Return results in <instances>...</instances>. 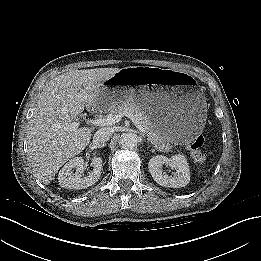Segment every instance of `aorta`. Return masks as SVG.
<instances>
[{
	"label": "aorta",
	"instance_id": "762f6f07",
	"mask_svg": "<svg viewBox=\"0 0 261 261\" xmlns=\"http://www.w3.org/2000/svg\"><path fill=\"white\" fill-rule=\"evenodd\" d=\"M139 137L132 132L123 133L120 136L119 144L124 149H132L137 146Z\"/></svg>",
	"mask_w": 261,
	"mask_h": 261
}]
</instances>
